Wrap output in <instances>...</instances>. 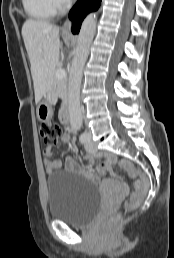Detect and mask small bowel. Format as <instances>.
I'll use <instances>...</instances> for the list:
<instances>
[{"label":"small bowel","mask_w":174,"mask_h":258,"mask_svg":"<svg viewBox=\"0 0 174 258\" xmlns=\"http://www.w3.org/2000/svg\"><path fill=\"white\" fill-rule=\"evenodd\" d=\"M62 140L64 142L69 141V137L67 134H64L62 136ZM44 156H45V161H44V166L45 170L48 175H52L54 171L58 170L61 168V163L58 160H50V158L53 156V150L50 147H46L44 150ZM86 160L89 163H93L95 160H99V171L101 173H110L111 172V165L115 163L116 161V156L113 154H105L103 156L99 155L98 153H92L87 155ZM65 169L67 171H83L82 167L72 158H68L65 162ZM102 175L101 174H93V179H101Z\"/></svg>","instance_id":"small-bowel-1"}]
</instances>
